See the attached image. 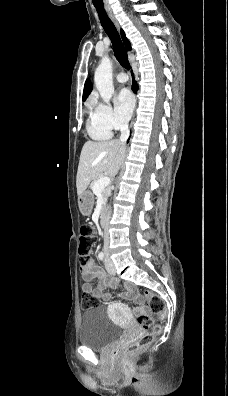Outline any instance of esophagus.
I'll return each instance as SVG.
<instances>
[{
	"instance_id": "esophagus-1",
	"label": "esophagus",
	"mask_w": 228,
	"mask_h": 396,
	"mask_svg": "<svg viewBox=\"0 0 228 396\" xmlns=\"http://www.w3.org/2000/svg\"><path fill=\"white\" fill-rule=\"evenodd\" d=\"M106 11L108 12L109 17L111 18V20L114 22V24L116 25L117 28H119V24L118 21L116 20L114 14L112 13V10L110 9V7H106ZM133 123V121H132ZM131 123V125H132Z\"/></svg>"
}]
</instances>
